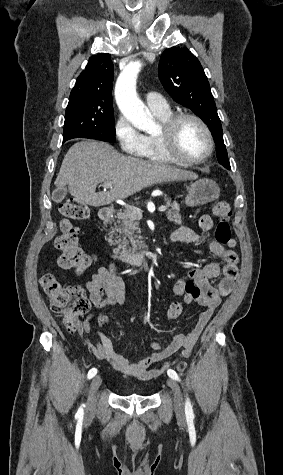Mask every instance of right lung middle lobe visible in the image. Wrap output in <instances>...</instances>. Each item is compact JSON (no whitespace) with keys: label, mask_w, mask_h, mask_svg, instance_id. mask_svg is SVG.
<instances>
[{"label":"right lung middle lobe","mask_w":283,"mask_h":475,"mask_svg":"<svg viewBox=\"0 0 283 475\" xmlns=\"http://www.w3.org/2000/svg\"><path fill=\"white\" fill-rule=\"evenodd\" d=\"M90 138L115 142V123L111 103L69 100L64 123L63 141Z\"/></svg>","instance_id":"obj_1"}]
</instances>
